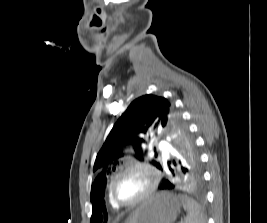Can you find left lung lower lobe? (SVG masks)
I'll return each mask as SVG.
<instances>
[{"instance_id":"1","label":"left lung lower lobe","mask_w":267,"mask_h":223,"mask_svg":"<svg viewBox=\"0 0 267 223\" xmlns=\"http://www.w3.org/2000/svg\"><path fill=\"white\" fill-rule=\"evenodd\" d=\"M181 176V177H178ZM203 171H171L160 173L162 184L159 186L161 192H176V189H200V181Z\"/></svg>"}]
</instances>
